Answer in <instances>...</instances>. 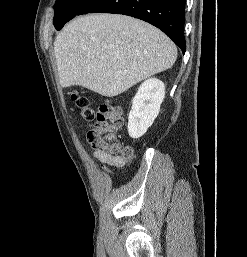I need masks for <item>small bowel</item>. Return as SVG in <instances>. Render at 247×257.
<instances>
[{"mask_svg":"<svg viewBox=\"0 0 247 257\" xmlns=\"http://www.w3.org/2000/svg\"><path fill=\"white\" fill-rule=\"evenodd\" d=\"M131 151V157L125 158L123 156L110 155L102 150L96 149L92 152V157L95 158L104 167L110 166L117 169H121L126 165L127 162H129L132 159L133 150L131 149Z\"/></svg>","mask_w":247,"mask_h":257,"instance_id":"1","label":"small bowel"}]
</instances>
